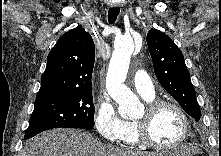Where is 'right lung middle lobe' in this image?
I'll return each mask as SVG.
<instances>
[{
	"label": "right lung middle lobe",
	"instance_id": "dd1d6c3e",
	"mask_svg": "<svg viewBox=\"0 0 221 156\" xmlns=\"http://www.w3.org/2000/svg\"><path fill=\"white\" fill-rule=\"evenodd\" d=\"M94 127L92 90L37 98L25 139L53 128Z\"/></svg>",
	"mask_w": 221,
	"mask_h": 156
}]
</instances>
